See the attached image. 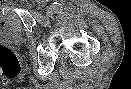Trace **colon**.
<instances>
[{"label":"colon","mask_w":131,"mask_h":89,"mask_svg":"<svg viewBox=\"0 0 131 89\" xmlns=\"http://www.w3.org/2000/svg\"><path fill=\"white\" fill-rule=\"evenodd\" d=\"M21 67L15 53L0 46V77L12 78L20 73Z\"/></svg>","instance_id":"5ec220e1"}]
</instances>
